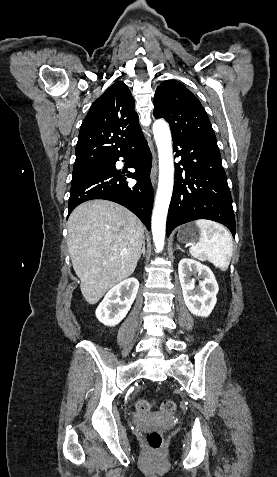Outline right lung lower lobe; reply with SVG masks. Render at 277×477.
Here are the masks:
<instances>
[{"label": "right lung lower lobe", "mask_w": 277, "mask_h": 477, "mask_svg": "<svg viewBox=\"0 0 277 477\" xmlns=\"http://www.w3.org/2000/svg\"><path fill=\"white\" fill-rule=\"evenodd\" d=\"M123 157L135 172L125 173L116 169L115 163ZM105 165L71 183L68 216L82 202L105 199L123 205L132 211L150 230L153 205V189L150 181L152 156L144 137L132 143L124 151L112 156ZM127 178L138 182L128 186Z\"/></svg>", "instance_id": "right-lung-lower-lobe-1"}]
</instances>
